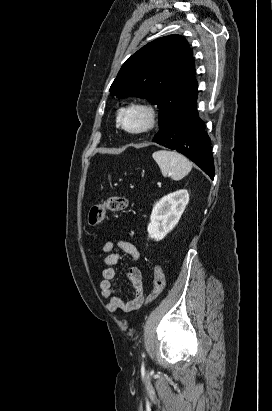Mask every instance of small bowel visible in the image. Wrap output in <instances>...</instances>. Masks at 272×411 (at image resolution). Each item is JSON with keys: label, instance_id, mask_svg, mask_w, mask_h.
<instances>
[{"label": "small bowel", "instance_id": "1", "mask_svg": "<svg viewBox=\"0 0 272 411\" xmlns=\"http://www.w3.org/2000/svg\"><path fill=\"white\" fill-rule=\"evenodd\" d=\"M103 252L106 253L104 263L106 267L102 271V279L99 284L101 296L107 299L106 309L110 312L122 310L125 312L132 311L138 307H133L132 304L137 298L144 296L143 292V277L141 270L136 267H130L127 270L126 276L134 289L133 299L125 302L121 296L120 291L117 288L115 278L117 267L121 262L123 254L129 255L134 261L140 258L138 249L128 241H107L103 245ZM118 250V252H115Z\"/></svg>", "mask_w": 272, "mask_h": 411}]
</instances>
